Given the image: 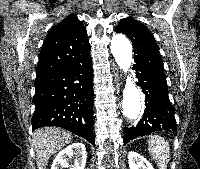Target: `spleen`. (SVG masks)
Here are the masks:
<instances>
[{"label": "spleen", "instance_id": "3e777b00", "mask_svg": "<svg viewBox=\"0 0 200 169\" xmlns=\"http://www.w3.org/2000/svg\"><path fill=\"white\" fill-rule=\"evenodd\" d=\"M148 149L159 169H166L170 158L169 143L161 136L152 135L148 140Z\"/></svg>", "mask_w": 200, "mask_h": 169}]
</instances>
